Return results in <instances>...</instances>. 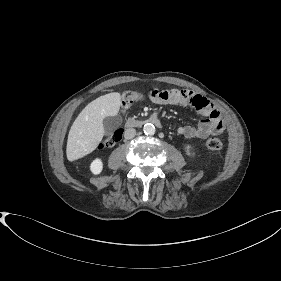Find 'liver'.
Listing matches in <instances>:
<instances>
[{
  "mask_svg": "<svg viewBox=\"0 0 281 281\" xmlns=\"http://www.w3.org/2000/svg\"><path fill=\"white\" fill-rule=\"evenodd\" d=\"M120 104V93L112 92L96 98L80 112L68 134L66 155L69 161L80 159L97 148L105 133L104 118L116 116Z\"/></svg>",
  "mask_w": 281,
  "mask_h": 281,
  "instance_id": "6515ba94",
  "label": "liver"
}]
</instances>
